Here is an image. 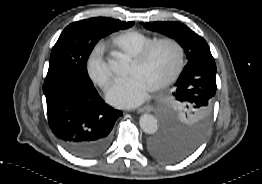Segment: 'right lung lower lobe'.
<instances>
[{"label":"right lung lower lobe","instance_id":"98d812e1","mask_svg":"<svg viewBox=\"0 0 262 184\" xmlns=\"http://www.w3.org/2000/svg\"><path fill=\"white\" fill-rule=\"evenodd\" d=\"M49 126L62 146L77 157L92 159L111 142L122 112L108 106L93 84L65 78L45 82Z\"/></svg>","mask_w":262,"mask_h":184}]
</instances>
